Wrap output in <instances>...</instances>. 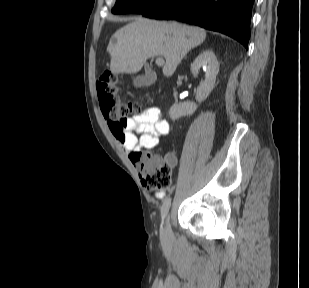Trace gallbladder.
I'll return each instance as SVG.
<instances>
[{"instance_id":"obj_1","label":"gallbladder","mask_w":309,"mask_h":288,"mask_svg":"<svg viewBox=\"0 0 309 288\" xmlns=\"http://www.w3.org/2000/svg\"><path fill=\"white\" fill-rule=\"evenodd\" d=\"M156 74L149 68H146L144 75H138L133 79V84L135 87H147L155 82Z\"/></svg>"}]
</instances>
